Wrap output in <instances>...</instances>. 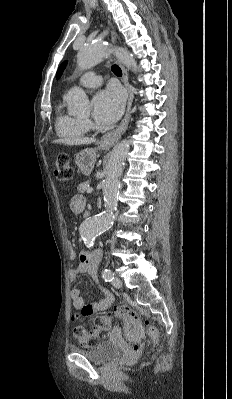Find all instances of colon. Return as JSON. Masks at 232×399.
Instances as JSON below:
<instances>
[{
	"label": "colon",
	"instance_id": "colon-1",
	"mask_svg": "<svg viewBox=\"0 0 232 399\" xmlns=\"http://www.w3.org/2000/svg\"><path fill=\"white\" fill-rule=\"evenodd\" d=\"M52 165L56 168H61V174L57 175L58 179H73V162H70V156H56V160H52ZM78 318V315H75ZM125 321H123V328H126V337L130 340H123L121 346V353H143V341H145L144 326L140 317L136 313H125ZM95 324H102V317H95ZM149 328L154 326L152 321L147 323ZM75 335L79 341V347H98V342H95V331L91 330L86 333L81 331V325H76Z\"/></svg>",
	"mask_w": 232,
	"mask_h": 399
}]
</instances>
